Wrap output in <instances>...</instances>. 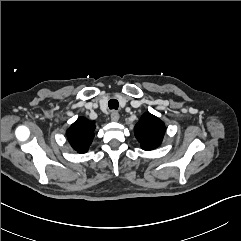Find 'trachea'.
<instances>
[{"mask_svg": "<svg viewBox=\"0 0 241 241\" xmlns=\"http://www.w3.org/2000/svg\"><path fill=\"white\" fill-rule=\"evenodd\" d=\"M108 106L111 110H117L119 107V102L116 99H110L108 102Z\"/></svg>", "mask_w": 241, "mask_h": 241, "instance_id": "obj_1", "label": "trachea"}]
</instances>
